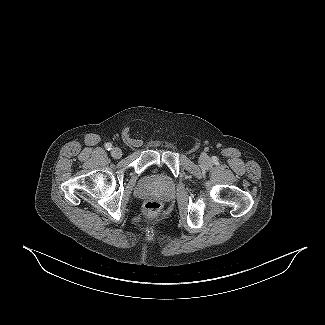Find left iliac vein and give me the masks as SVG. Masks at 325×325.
<instances>
[{
	"instance_id": "obj_1",
	"label": "left iliac vein",
	"mask_w": 325,
	"mask_h": 325,
	"mask_svg": "<svg viewBox=\"0 0 325 325\" xmlns=\"http://www.w3.org/2000/svg\"><path fill=\"white\" fill-rule=\"evenodd\" d=\"M199 164L202 168H208L211 165L210 159L208 156H202L199 160Z\"/></svg>"
}]
</instances>
